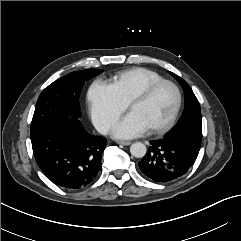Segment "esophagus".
<instances>
[{"instance_id": "esophagus-1", "label": "esophagus", "mask_w": 241, "mask_h": 241, "mask_svg": "<svg viewBox=\"0 0 241 241\" xmlns=\"http://www.w3.org/2000/svg\"><path fill=\"white\" fill-rule=\"evenodd\" d=\"M117 144L128 146L131 144L129 141H117Z\"/></svg>"}]
</instances>
